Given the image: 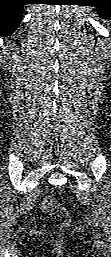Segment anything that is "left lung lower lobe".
<instances>
[{
	"label": "left lung lower lobe",
	"instance_id": "0a47b994",
	"mask_svg": "<svg viewBox=\"0 0 111 257\" xmlns=\"http://www.w3.org/2000/svg\"><path fill=\"white\" fill-rule=\"evenodd\" d=\"M96 5L98 13L101 17L111 16V0H98Z\"/></svg>",
	"mask_w": 111,
	"mask_h": 257
}]
</instances>
